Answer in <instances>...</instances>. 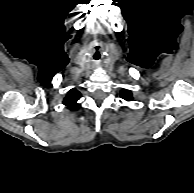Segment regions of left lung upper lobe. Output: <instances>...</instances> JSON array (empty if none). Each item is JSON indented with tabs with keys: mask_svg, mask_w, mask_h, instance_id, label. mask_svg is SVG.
<instances>
[{
	"mask_svg": "<svg viewBox=\"0 0 194 193\" xmlns=\"http://www.w3.org/2000/svg\"><path fill=\"white\" fill-rule=\"evenodd\" d=\"M120 96H121V98H123L124 100H127V101L132 100V93H131V91H129V90H122V91L120 92Z\"/></svg>",
	"mask_w": 194,
	"mask_h": 193,
	"instance_id": "left-lung-upper-lobe-1",
	"label": "left lung upper lobe"
}]
</instances>
